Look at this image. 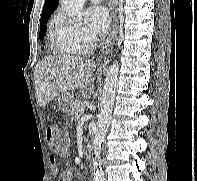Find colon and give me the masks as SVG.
<instances>
[{"label":"colon","instance_id":"obj_1","mask_svg":"<svg viewBox=\"0 0 197 181\" xmlns=\"http://www.w3.org/2000/svg\"><path fill=\"white\" fill-rule=\"evenodd\" d=\"M46 137L48 140V143L50 145V148L54 151H59L62 144V136L60 133V130L55 126H50L46 130Z\"/></svg>","mask_w":197,"mask_h":181}]
</instances>
